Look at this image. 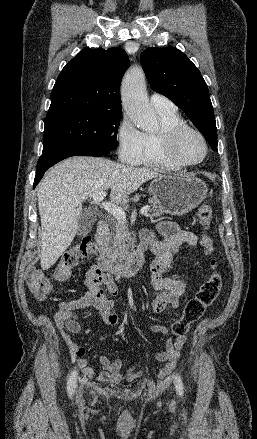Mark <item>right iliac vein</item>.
<instances>
[{"instance_id":"63e3f726","label":"right iliac vein","mask_w":257,"mask_h":439,"mask_svg":"<svg viewBox=\"0 0 257 439\" xmlns=\"http://www.w3.org/2000/svg\"><path fill=\"white\" fill-rule=\"evenodd\" d=\"M82 397V395H81V391L79 392V398H81Z\"/></svg>"}]
</instances>
